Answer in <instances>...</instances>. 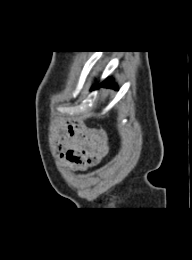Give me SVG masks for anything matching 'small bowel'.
<instances>
[{"label": "small bowel", "mask_w": 192, "mask_h": 260, "mask_svg": "<svg viewBox=\"0 0 192 260\" xmlns=\"http://www.w3.org/2000/svg\"><path fill=\"white\" fill-rule=\"evenodd\" d=\"M58 150L67 168L85 171L97 165L107 154L106 135L102 130L81 122H69L59 136Z\"/></svg>", "instance_id": "obj_1"}]
</instances>
